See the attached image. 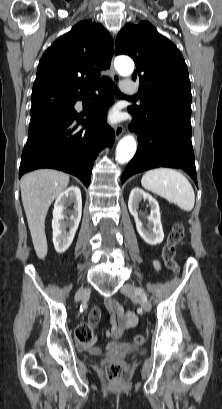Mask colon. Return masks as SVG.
Instances as JSON below:
<instances>
[{
    "mask_svg": "<svg viewBox=\"0 0 222 409\" xmlns=\"http://www.w3.org/2000/svg\"><path fill=\"white\" fill-rule=\"evenodd\" d=\"M184 233L185 229L183 224L177 223L176 225H174L162 250V258L165 262V265L175 273L179 271V266L175 259L176 246L183 239ZM76 338L80 344H90L92 342L93 331L88 323H81L77 327ZM144 340V336L140 334L134 337V341L137 344H142ZM106 375L109 381L112 383L121 382L123 379L122 365L118 362L109 363L106 367Z\"/></svg>",
    "mask_w": 222,
    "mask_h": 409,
    "instance_id": "1",
    "label": "colon"
}]
</instances>
